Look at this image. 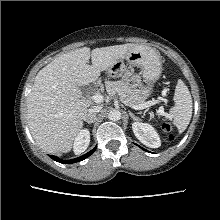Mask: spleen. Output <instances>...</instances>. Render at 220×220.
Returning <instances> with one entry per match:
<instances>
[{"instance_id":"spleen-1","label":"spleen","mask_w":220,"mask_h":220,"mask_svg":"<svg viewBox=\"0 0 220 220\" xmlns=\"http://www.w3.org/2000/svg\"><path fill=\"white\" fill-rule=\"evenodd\" d=\"M175 105L169 111L168 117L178 128L179 133L185 131L192 117V98L188 87L182 80H178L175 93Z\"/></svg>"}]
</instances>
